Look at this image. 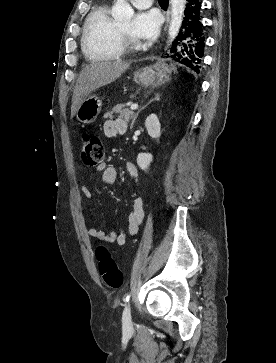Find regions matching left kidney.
I'll use <instances>...</instances> for the list:
<instances>
[{"label":"left kidney","instance_id":"5707ae66","mask_svg":"<svg viewBox=\"0 0 276 363\" xmlns=\"http://www.w3.org/2000/svg\"><path fill=\"white\" fill-rule=\"evenodd\" d=\"M145 127L150 137L159 138L161 135V125L156 114H151L146 118ZM153 156L150 153H139L137 164L142 170L148 169L152 162Z\"/></svg>","mask_w":276,"mask_h":363}]
</instances>
